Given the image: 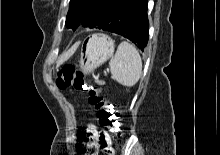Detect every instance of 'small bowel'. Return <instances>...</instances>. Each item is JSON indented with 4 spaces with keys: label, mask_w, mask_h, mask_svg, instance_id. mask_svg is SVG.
Segmentation results:
<instances>
[{
    "label": "small bowel",
    "mask_w": 220,
    "mask_h": 155,
    "mask_svg": "<svg viewBox=\"0 0 220 155\" xmlns=\"http://www.w3.org/2000/svg\"><path fill=\"white\" fill-rule=\"evenodd\" d=\"M99 132L96 129V127L94 125H89L87 128V140H88V146L96 140L97 136H98Z\"/></svg>",
    "instance_id": "small-bowel-1"
}]
</instances>
